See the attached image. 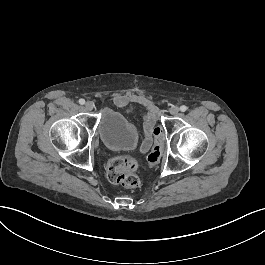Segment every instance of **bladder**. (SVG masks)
Instances as JSON below:
<instances>
[{
  "mask_svg": "<svg viewBox=\"0 0 265 265\" xmlns=\"http://www.w3.org/2000/svg\"><path fill=\"white\" fill-rule=\"evenodd\" d=\"M98 134L103 144L110 150H129L136 145V127L120 112L107 108L100 117Z\"/></svg>",
  "mask_w": 265,
  "mask_h": 265,
  "instance_id": "31cf9c89",
  "label": "bladder"
}]
</instances>
